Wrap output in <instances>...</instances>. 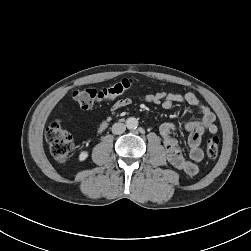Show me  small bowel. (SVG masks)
<instances>
[{
  "instance_id": "obj_1",
  "label": "small bowel",
  "mask_w": 251,
  "mask_h": 251,
  "mask_svg": "<svg viewBox=\"0 0 251 251\" xmlns=\"http://www.w3.org/2000/svg\"><path fill=\"white\" fill-rule=\"evenodd\" d=\"M142 101L159 105L163 109H170L174 103H185L193 106L200 114V120L188 121L184 124V128L189 132L188 146L189 156L186 158L174 138L173 134L176 130L172 123H163L160 126L159 133L166 151L169 163L176 169L184 173L194 176L199 172V163L203 160L204 154L200 147L202 136L205 132L216 133L217 126L215 124V115L211 109L201 102L192 92H166L160 91L154 94H147L141 98ZM131 98H124L116 101L111 107V111L131 104Z\"/></svg>"
}]
</instances>
